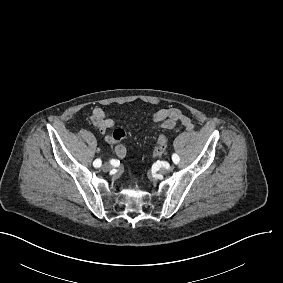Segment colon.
<instances>
[{
	"label": "colon",
	"instance_id": "obj_1",
	"mask_svg": "<svg viewBox=\"0 0 283 283\" xmlns=\"http://www.w3.org/2000/svg\"><path fill=\"white\" fill-rule=\"evenodd\" d=\"M168 139L169 136L166 133L161 134L160 138H158L153 148V156L155 158H160L164 154Z\"/></svg>",
	"mask_w": 283,
	"mask_h": 283
}]
</instances>
